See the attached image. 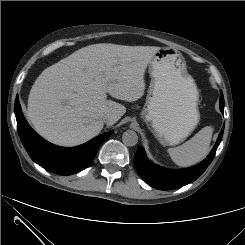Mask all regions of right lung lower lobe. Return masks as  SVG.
Returning <instances> with one entry per match:
<instances>
[{
  "label": "right lung lower lobe",
  "mask_w": 245,
  "mask_h": 245,
  "mask_svg": "<svg viewBox=\"0 0 245 245\" xmlns=\"http://www.w3.org/2000/svg\"><path fill=\"white\" fill-rule=\"evenodd\" d=\"M15 115L20 139L32 160L44 169L61 175L75 174L87 168L100 145L113 133H103L77 147H59L44 140L29 126L18 97L15 101Z\"/></svg>",
  "instance_id": "1"
}]
</instances>
